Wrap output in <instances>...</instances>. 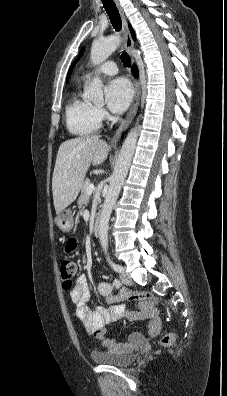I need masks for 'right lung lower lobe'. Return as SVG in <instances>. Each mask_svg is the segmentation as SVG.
I'll use <instances>...</instances> for the list:
<instances>
[{"mask_svg":"<svg viewBox=\"0 0 227 396\" xmlns=\"http://www.w3.org/2000/svg\"><path fill=\"white\" fill-rule=\"evenodd\" d=\"M132 73L134 76H137V69L135 67L132 68Z\"/></svg>","mask_w":227,"mask_h":396,"instance_id":"right-lung-lower-lobe-1","label":"right lung lower lobe"}]
</instances>
